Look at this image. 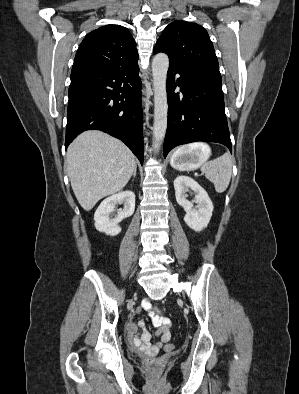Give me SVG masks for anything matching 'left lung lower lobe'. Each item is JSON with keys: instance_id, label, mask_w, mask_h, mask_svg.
I'll return each mask as SVG.
<instances>
[{"instance_id": "left-lung-lower-lobe-1", "label": "left lung lower lobe", "mask_w": 299, "mask_h": 394, "mask_svg": "<svg viewBox=\"0 0 299 394\" xmlns=\"http://www.w3.org/2000/svg\"><path fill=\"white\" fill-rule=\"evenodd\" d=\"M176 86L181 87V94L174 92ZM166 90L169 107L164 157L174 147L195 141L217 142L232 150L219 70L169 66Z\"/></svg>"}]
</instances>
